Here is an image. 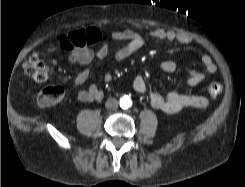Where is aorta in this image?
Wrapping results in <instances>:
<instances>
[{"mask_svg": "<svg viewBox=\"0 0 245 187\" xmlns=\"http://www.w3.org/2000/svg\"><path fill=\"white\" fill-rule=\"evenodd\" d=\"M119 104L122 109H127L131 106V99L125 95L120 99Z\"/></svg>", "mask_w": 245, "mask_h": 187, "instance_id": "1", "label": "aorta"}]
</instances>
